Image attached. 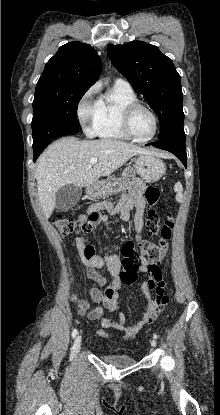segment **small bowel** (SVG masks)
Listing matches in <instances>:
<instances>
[{
	"label": "small bowel",
	"mask_w": 220,
	"mask_h": 415,
	"mask_svg": "<svg viewBox=\"0 0 220 415\" xmlns=\"http://www.w3.org/2000/svg\"><path fill=\"white\" fill-rule=\"evenodd\" d=\"M145 184L141 180L133 181L122 194L120 200L111 205L102 202L92 205L86 214H82L77 219V228L74 233L75 245L82 256L86 265V274L90 279L95 280L99 287L85 288L83 292L94 302L101 304L94 308L90 307L88 301L83 299L78 292L70 294V301L75 305L78 313L86 315L91 320L100 323L101 329L98 334L108 338L105 329H113L124 333L123 340L134 339L143 327L151 324L163 310L156 309L151 294L147 290L146 283L141 285V293L145 302L140 320L132 326L125 324L123 314L118 315V320L104 317V313H112L117 309L118 291L121 287L120 261L116 253L101 254L93 246L88 244L87 233L104 223L109 215H119L120 221L125 222L129 219L131 212H134V223L138 235L143 230V213L145 208L144 191ZM149 263L145 258L141 259V271L148 272ZM107 272L113 277L111 283H107L101 271Z\"/></svg>",
	"instance_id": "small-bowel-1"
}]
</instances>
